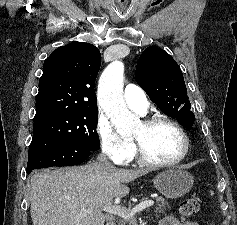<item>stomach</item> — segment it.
Listing matches in <instances>:
<instances>
[{"label":"stomach","instance_id":"stomach-1","mask_svg":"<svg viewBox=\"0 0 237 225\" xmlns=\"http://www.w3.org/2000/svg\"><path fill=\"white\" fill-rule=\"evenodd\" d=\"M155 188L165 197L176 199L187 194L194 183L193 176L180 168L171 167L153 180Z\"/></svg>","mask_w":237,"mask_h":225}]
</instances>
